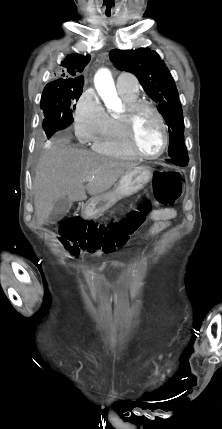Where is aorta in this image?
<instances>
[{"label": "aorta", "instance_id": "762f6f07", "mask_svg": "<svg viewBox=\"0 0 222 429\" xmlns=\"http://www.w3.org/2000/svg\"><path fill=\"white\" fill-rule=\"evenodd\" d=\"M94 83L98 94L104 101L107 108L115 110L121 105L109 70H99L95 76Z\"/></svg>", "mask_w": 222, "mask_h": 429}]
</instances>
